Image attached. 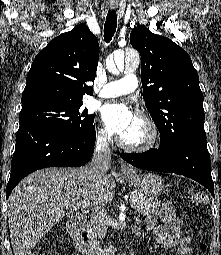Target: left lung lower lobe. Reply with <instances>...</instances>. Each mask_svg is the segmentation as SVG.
<instances>
[{"label":"left lung lower lobe","instance_id":"0a47b994","mask_svg":"<svg viewBox=\"0 0 221 255\" xmlns=\"http://www.w3.org/2000/svg\"><path fill=\"white\" fill-rule=\"evenodd\" d=\"M121 157L140 169L175 173L194 179L214 196L206 139L192 138L172 148L160 145L158 149L138 154L123 153Z\"/></svg>","mask_w":221,"mask_h":255}]
</instances>
